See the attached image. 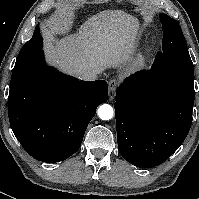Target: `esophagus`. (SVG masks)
Returning a JSON list of instances; mask_svg holds the SVG:
<instances>
[{
	"label": "esophagus",
	"instance_id": "esophagus-1",
	"mask_svg": "<svg viewBox=\"0 0 199 199\" xmlns=\"http://www.w3.org/2000/svg\"><path fill=\"white\" fill-rule=\"evenodd\" d=\"M116 87H117V81L116 80H110L109 81V101L114 100Z\"/></svg>",
	"mask_w": 199,
	"mask_h": 199
}]
</instances>
